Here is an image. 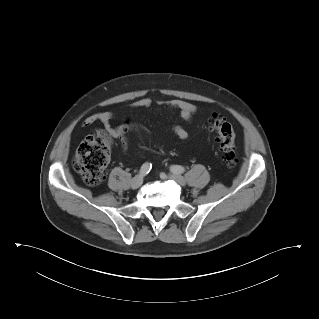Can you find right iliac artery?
<instances>
[{
    "label": "right iliac artery",
    "instance_id": "82829eb1",
    "mask_svg": "<svg viewBox=\"0 0 319 319\" xmlns=\"http://www.w3.org/2000/svg\"><path fill=\"white\" fill-rule=\"evenodd\" d=\"M151 168H152V165L150 163H144L140 168L139 175L140 176L147 175L150 172Z\"/></svg>",
    "mask_w": 319,
    "mask_h": 319
}]
</instances>
